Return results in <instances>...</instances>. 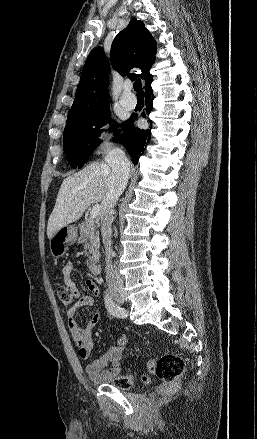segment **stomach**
Returning <instances> with one entry per match:
<instances>
[{
  "label": "stomach",
  "mask_w": 257,
  "mask_h": 439,
  "mask_svg": "<svg viewBox=\"0 0 257 439\" xmlns=\"http://www.w3.org/2000/svg\"><path fill=\"white\" fill-rule=\"evenodd\" d=\"M77 239V228L73 225H66L60 228L49 240L50 252L53 257H62L68 247Z\"/></svg>",
  "instance_id": "1"
}]
</instances>
